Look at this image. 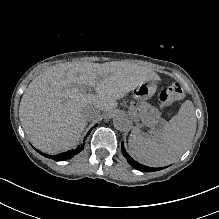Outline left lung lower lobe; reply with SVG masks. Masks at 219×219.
<instances>
[{"label":"left lung lower lobe","instance_id":"1","mask_svg":"<svg viewBox=\"0 0 219 219\" xmlns=\"http://www.w3.org/2000/svg\"><path fill=\"white\" fill-rule=\"evenodd\" d=\"M121 148H122V152H123V155L125 156V158L127 159V161L129 162V164L140 170V171H143V172H153V171H158V170H161L162 168H153V167H148V166H145L143 164H140L138 162H135L131 157L130 155L126 152L125 148H124V143L122 142L121 144Z\"/></svg>","mask_w":219,"mask_h":219}]
</instances>
